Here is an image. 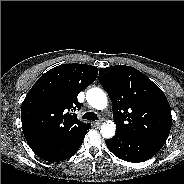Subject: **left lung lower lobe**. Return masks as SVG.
<instances>
[{
    "label": "left lung lower lobe",
    "mask_w": 184,
    "mask_h": 184,
    "mask_svg": "<svg viewBox=\"0 0 184 184\" xmlns=\"http://www.w3.org/2000/svg\"><path fill=\"white\" fill-rule=\"evenodd\" d=\"M108 149L118 158L127 162H143L158 151L123 132L116 131L113 138L105 140Z\"/></svg>",
    "instance_id": "1"
}]
</instances>
